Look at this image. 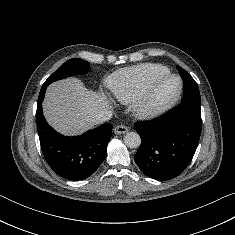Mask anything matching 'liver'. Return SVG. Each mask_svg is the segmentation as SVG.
I'll return each mask as SVG.
<instances>
[{"label":"liver","instance_id":"6515ba94","mask_svg":"<svg viewBox=\"0 0 235 235\" xmlns=\"http://www.w3.org/2000/svg\"><path fill=\"white\" fill-rule=\"evenodd\" d=\"M109 107L103 94L87 89L77 78H68L48 86L43 113L57 132L74 136L93 128L97 115Z\"/></svg>","mask_w":235,"mask_h":235}]
</instances>
